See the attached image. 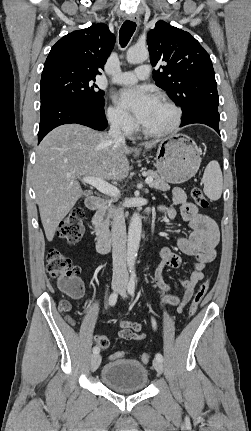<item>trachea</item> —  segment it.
Returning a JSON list of instances; mask_svg holds the SVG:
<instances>
[{"label": "trachea", "instance_id": "trachea-1", "mask_svg": "<svg viewBox=\"0 0 251 431\" xmlns=\"http://www.w3.org/2000/svg\"><path fill=\"white\" fill-rule=\"evenodd\" d=\"M136 30V23L126 20L120 28L119 41L122 47H125Z\"/></svg>", "mask_w": 251, "mask_h": 431}]
</instances>
